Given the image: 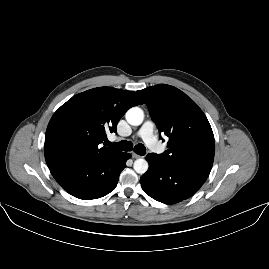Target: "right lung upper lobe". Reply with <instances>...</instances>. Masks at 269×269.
<instances>
[{
    "label": "right lung upper lobe",
    "instance_id": "1",
    "mask_svg": "<svg viewBox=\"0 0 269 269\" xmlns=\"http://www.w3.org/2000/svg\"><path fill=\"white\" fill-rule=\"evenodd\" d=\"M143 104L133 91L111 87L79 93L52 116L45 134V160L48 167L59 163L91 161L114 153L102 147L106 132H116L125 112Z\"/></svg>",
    "mask_w": 269,
    "mask_h": 269
}]
</instances>
